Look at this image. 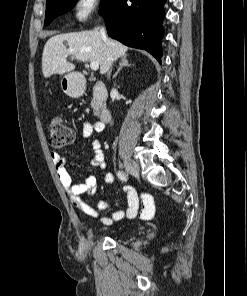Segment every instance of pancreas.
Here are the masks:
<instances>
[{"instance_id":"1","label":"pancreas","mask_w":247,"mask_h":296,"mask_svg":"<svg viewBox=\"0 0 247 296\" xmlns=\"http://www.w3.org/2000/svg\"><path fill=\"white\" fill-rule=\"evenodd\" d=\"M91 106L94 108V107H95V103H94V102H92V103H91Z\"/></svg>"}]
</instances>
